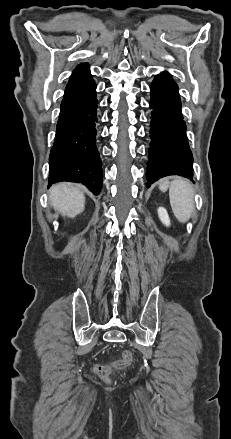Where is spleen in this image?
Here are the masks:
<instances>
[{
  "label": "spleen",
  "mask_w": 231,
  "mask_h": 439,
  "mask_svg": "<svg viewBox=\"0 0 231 439\" xmlns=\"http://www.w3.org/2000/svg\"><path fill=\"white\" fill-rule=\"evenodd\" d=\"M159 188L163 192L169 189L170 204L175 217L182 223L189 220L194 210L191 184L185 179H176L171 183L161 182Z\"/></svg>",
  "instance_id": "3e777b00"
}]
</instances>
